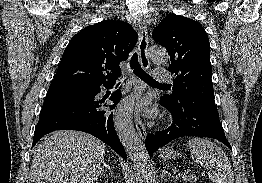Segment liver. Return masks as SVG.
Here are the masks:
<instances>
[{
    "mask_svg": "<svg viewBox=\"0 0 262 183\" xmlns=\"http://www.w3.org/2000/svg\"><path fill=\"white\" fill-rule=\"evenodd\" d=\"M106 145L90 134L60 130L35 149L29 183H96Z\"/></svg>",
    "mask_w": 262,
    "mask_h": 183,
    "instance_id": "obj_1",
    "label": "liver"
}]
</instances>
